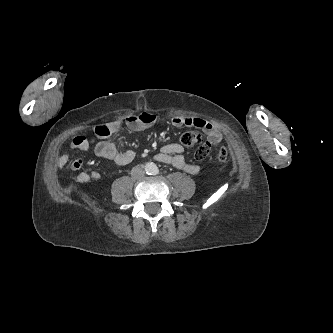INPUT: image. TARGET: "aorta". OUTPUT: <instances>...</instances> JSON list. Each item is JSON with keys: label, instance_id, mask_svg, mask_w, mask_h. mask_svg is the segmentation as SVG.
Here are the masks:
<instances>
[{"label": "aorta", "instance_id": "762f6f07", "mask_svg": "<svg viewBox=\"0 0 333 333\" xmlns=\"http://www.w3.org/2000/svg\"><path fill=\"white\" fill-rule=\"evenodd\" d=\"M145 170L147 173H152L156 170V165L153 162H148L145 165Z\"/></svg>", "mask_w": 333, "mask_h": 333}]
</instances>
